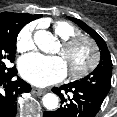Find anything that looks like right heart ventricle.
<instances>
[{
    "mask_svg": "<svg viewBox=\"0 0 117 117\" xmlns=\"http://www.w3.org/2000/svg\"><path fill=\"white\" fill-rule=\"evenodd\" d=\"M52 27L55 34L62 40L79 35V30L70 22L64 20L55 21Z\"/></svg>",
    "mask_w": 117,
    "mask_h": 117,
    "instance_id": "right-heart-ventricle-1",
    "label": "right heart ventricle"
}]
</instances>
